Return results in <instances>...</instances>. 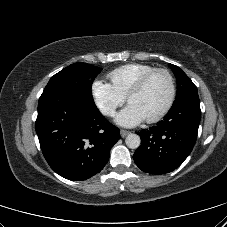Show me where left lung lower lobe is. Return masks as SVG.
<instances>
[{"label":"left lung lower lobe","instance_id":"1","mask_svg":"<svg viewBox=\"0 0 227 227\" xmlns=\"http://www.w3.org/2000/svg\"><path fill=\"white\" fill-rule=\"evenodd\" d=\"M201 118L198 93L174 102L166 117L147 131L138 132L141 145L133 159L150 174H165L178 168L188 157L197 139Z\"/></svg>","mask_w":227,"mask_h":227}]
</instances>
